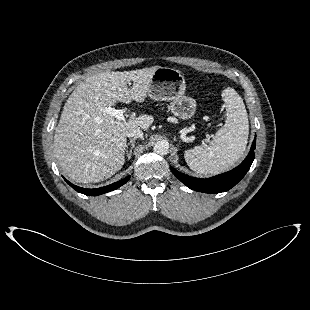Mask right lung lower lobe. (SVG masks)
Segmentation results:
<instances>
[{"mask_svg":"<svg viewBox=\"0 0 310 310\" xmlns=\"http://www.w3.org/2000/svg\"><path fill=\"white\" fill-rule=\"evenodd\" d=\"M129 178H130V176H127L126 178H124V179H122V180H120L118 182H115V183H113L111 185H108V186H105V187H101V188H97V189H85V188H81V187L73 185L72 183H70L66 179H65V181L73 189H75L77 192H80L82 194L89 195V196H97V195H100V194H103V193H107V192H110V191H113V190L119 188L120 186L124 185L129 180Z\"/></svg>","mask_w":310,"mask_h":310,"instance_id":"1","label":"right lung lower lobe"}]
</instances>
